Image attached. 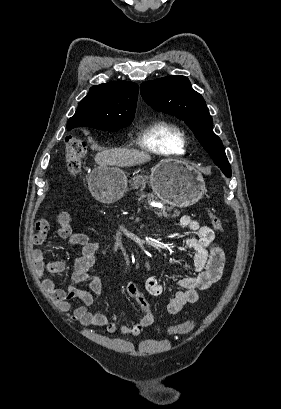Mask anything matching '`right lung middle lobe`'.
I'll use <instances>...</instances> for the list:
<instances>
[{"label": "right lung middle lobe", "instance_id": "right-lung-middle-lobe-1", "mask_svg": "<svg viewBox=\"0 0 281 409\" xmlns=\"http://www.w3.org/2000/svg\"><path fill=\"white\" fill-rule=\"evenodd\" d=\"M128 125L129 124H127V125H116V126H90V127L95 128V129L104 130V131H116V130L121 129L123 127H126Z\"/></svg>", "mask_w": 281, "mask_h": 409}]
</instances>
